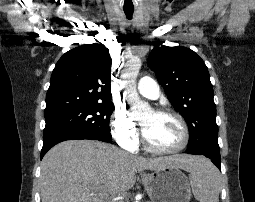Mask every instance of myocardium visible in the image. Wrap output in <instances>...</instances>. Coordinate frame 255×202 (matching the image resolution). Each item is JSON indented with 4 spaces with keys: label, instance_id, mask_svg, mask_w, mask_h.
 I'll list each match as a JSON object with an SVG mask.
<instances>
[{
    "label": "myocardium",
    "instance_id": "obj_1",
    "mask_svg": "<svg viewBox=\"0 0 255 202\" xmlns=\"http://www.w3.org/2000/svg\"><path fill=\"white\" fill-rule=\"evenodd\" d=\"M153 112L157 115H166V116H171L175 118L180 124L181 130H182V141L178 146L174 148H170V149L156 148L153 145H151L150 142L148 141L146 134L144 132V128L141 125V139H142L144 148L148 152H151L154 154H162V155L178 153L182 151L183 149H185L190 139L189 128L185 119L178 112L168 108L155 109Z\"/></svg>",
    "mask_w": 255,
    "mask_h": 202
}]
</instances>
